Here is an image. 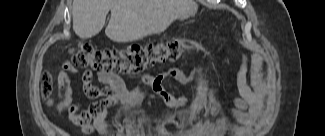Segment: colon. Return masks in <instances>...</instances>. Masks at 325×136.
Wrapping results in <instances>:
<instances>
[{
  "label": "colon",
  "mask_w": 325,
  "mask_h": 136,
  "mask_svg": "<svg viewBox=\"0 0 325 136\" xmlns=\"http://www.w3.org/2000/svg\"><path fill=\"white\" fill-rule=\"evenodd\" d=\"M184 53L182 45L173 41L105 50L95 49L85 42L71 50V57L78 67L89 66L97 71L135 74L159 63L175 61ZM41 91L48 105H52L53 83L48 74L42 76Z\"/></svg>",
  "instance_id": "5ec220e1"
}]
</instances>
